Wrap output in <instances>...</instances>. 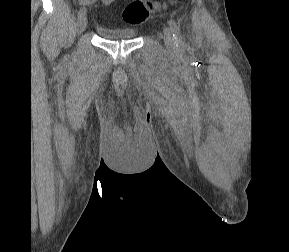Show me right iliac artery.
<instances>
[{"label": "right iliac artery", "instance_id": "obj_1", "mask_svg": "<svg viewBox=\"0 0 289 252\" xmlns=\"http://www.w3.org/2000/svg\"><path fill=\"white\" fill-rule=\"evenodd\" d=\"M86 14V8H81L78 12V18Z\"/></svg>", "mask_w": 289, "mask_h": 252}]
</instances>
